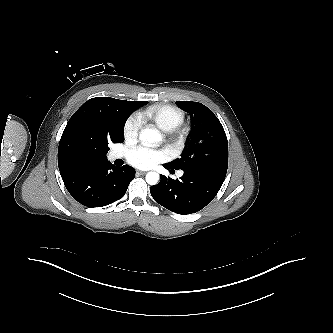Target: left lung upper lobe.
<instances>
[{
	"instance_id": "1",
	"label": "left lung upper lobe",
	"mask_w": 333,
	"mask_h": 333,
	"mask_svg": "<svg viewBox=\"0 0 333 333\" xmlns=\"http://www.w3.org/2000/svg\"><path fill=\"white\" fill-rule=\"evenodd\" d=\"M176 104L191 116L192 137L181 157L166 165L175 170L211 168L227 171L228 142L219 119L201 103L178 101Z\"/></svg>"
}]
</instances>
